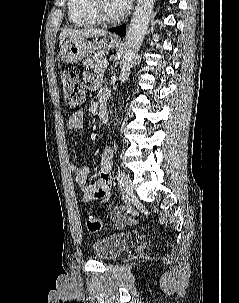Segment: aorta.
Wrapping results in <instances>:
<instances>
[{
  "label": "aorta",
  "instance_id": "aorta-1",
  "mask_svg": "<svg viewBox=\"0 0 239 303\" xmlns=\"http://www.w3.org/2000/svg\"><path fill=\"white\" fill-rule=\"evenodd\" d=\"M155 0H137L134 15L131 19L120 60L121 73L119 80L124 83L130 74L136 53L140 49L147 33Z\"/></svg>",
  "mask_w": 239,
  "mask_h": 303
}]
</instances>
